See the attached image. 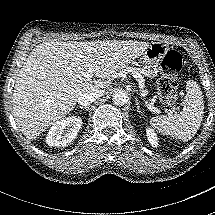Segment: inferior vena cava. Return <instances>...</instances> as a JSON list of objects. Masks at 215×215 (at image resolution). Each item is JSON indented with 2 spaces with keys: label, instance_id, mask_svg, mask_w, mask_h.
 <instances>
[{
  "label": "inferior vena cava",
  "instance_id": "inferior-vena-cava-1",
  "mask_svg": "<svg viewBox=\"0 0 215 215\" xmlns=\"http://www.w3.org/2000/svg\"><path fill=\"white\" fill-rule=\"evenodd\" d=\"M104 92V90H97L95 92L83 93L78 97L77 102L83 107L89 106L91 103L102 97L104 95Z\"/></svg>",
  "mask_w": 215,
  "mask_h": 215
}]
</instances>
